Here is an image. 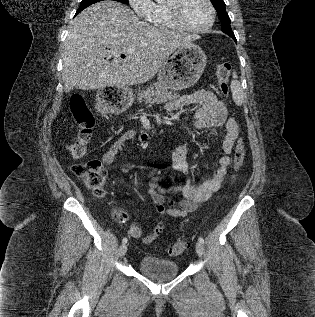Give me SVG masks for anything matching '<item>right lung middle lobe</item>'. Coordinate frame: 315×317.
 <instances>
[{
    "instance_id": "1",
    "label": "right lung middle lobe",
    "mask_w": 315,
    "mask_h": 317,
    "mask_svg": "<svg viewBox=\"0 0 315 317\" xmlns=\"http://www.w3.org/2000/svg\"><path fill=\"white\" fill-rule=\"evenodd\" d=\"M99 1H103V0H82L81 3H80V7H79L77 13L81 12L86 7H88V6H90V5L94 4V3H97ZM113 1H118V2H121L123 4H129L128 0H113Z\"/></svg>"
}]
</instances>
